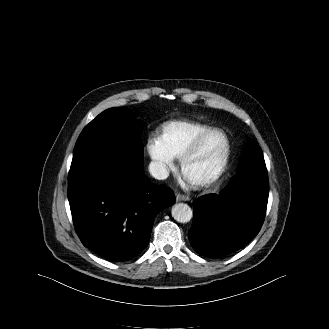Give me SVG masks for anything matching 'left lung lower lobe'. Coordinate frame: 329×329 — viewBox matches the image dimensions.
I'll return each instance as SVG.
<instances>
[{
  "label": "left lung lower lobe",
  "instance_id": "left-lung-lower-lobe-1",
  "mask_svg": "<svg viewBox=\"0 0 329 329\" xmlns=\"http://www.w3.org/2000/svg\"><path fill=\"white\" fill-rule=\"evenodd\" d=\"M268 195V174L262 166L239 172L220 194L198 198L188 232L193 249L222 257L245 247L261 229Z\"/></svg>",
  "mask_w": 329,
  "mask_h": 329
}]
</instances>
